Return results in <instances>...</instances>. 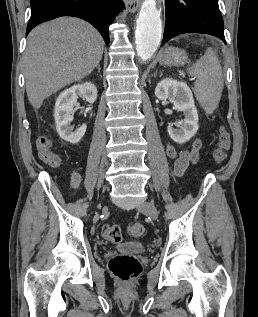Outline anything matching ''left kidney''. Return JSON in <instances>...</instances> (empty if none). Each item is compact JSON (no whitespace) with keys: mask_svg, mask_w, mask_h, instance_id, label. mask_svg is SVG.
I'll return each mask as SVG.
<instances>
[{"mask_svg":"<svg viewBox=\"0 0 258 317\" xmlns=\"http://www.w3.org/2000/svg\"><path fill=\"white\" fill-rule=\"evenodd\" d=\"M155 96L159 100L168 98L170 102H173L174 108L182 110L185 118L183 120H177L174 122L177 128L173 126H167L168 132L173 138L174 142H187L195 132H197L198 126V112L194 104L193 94L186 82L181 80H173V78H163L158 82L155 88Z\"/></svg>","mask_w":258,"mask_h":317,"instance_id":"5707ae66","label":"left kidney"}]
</instances>
